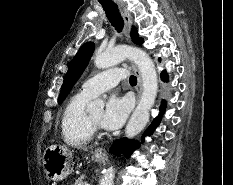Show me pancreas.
<instances>
[{"mask_svg": "<svg viewBox=\"0 0 233 185\" xmlns=\"http://www.w3.org/2000/svg\"><path fill=\"white\" fill-rule=\"evenodd\" d=\"M74 185H84L81 179L76 180Z\"/></svg>", "mask_w": 233, "mask_h": 185, "instance_id": "1", "label": "pancreas"}]
</instances>
